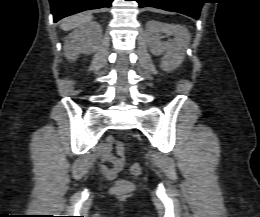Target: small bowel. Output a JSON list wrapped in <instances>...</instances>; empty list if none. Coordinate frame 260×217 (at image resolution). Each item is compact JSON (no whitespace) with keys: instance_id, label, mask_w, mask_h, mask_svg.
I'll return each instance as SVG.
<instances>
[{"instance_id":"obj_1","label":"small bowel","mask_w":260,"mask_h":217,"mask_svg":"<svg viewBox=\"0 0 260 217\" xmlns=\"http://www.w3.org/2000/svg\"><path fill=\"white\" fill-rule=\"evenodd\" d=\"M114 142L112 137H108L100 150V159L108 163V165H101V172L107 179L116 178L126 164L124 146L120 142H116L117 155L111 152Z\"/></svg>"}]
</instances>
